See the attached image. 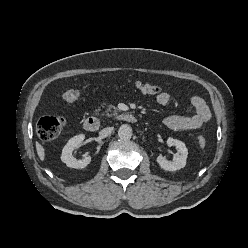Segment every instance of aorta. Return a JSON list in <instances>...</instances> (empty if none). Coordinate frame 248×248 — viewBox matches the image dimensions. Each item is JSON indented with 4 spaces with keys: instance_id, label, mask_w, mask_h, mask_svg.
Here are the masks:
<instances>
[{
    "instance_id": "obj_1",
    "label": "aorta",
    "mask_w": 248,
    "mask_h": 248,
    "mask_svg": "<svg viewBox=\"0 0 248 248\" xmlns=\"http://www.w3.org/2000/svg\"><path fill=\"white\" fill-rule=\"evenodd\" d=\"M118 136L121 140H129L132 137V128L127 124L121 125L118 130Z\"/></svg>"
}]
</instances>
